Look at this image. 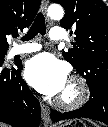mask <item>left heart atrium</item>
Segmentation results:
<instances>
[{
    "label": "left heart atrium",
    "instance_id": "39dd6f15",
    "mask_svg": "<svg viewBox=\"0 0 108 127\" xmlns=\"http://www.w3.org/2000/svg\"><path fill=\"white\" fill-rule=\"evenodd\" d=\"M24 73L31 86L50 96L60 94L68 83L66 66L49 53L30 59Z\"/></svg>",
    "mask_w": 108,
    "mask_h": 127
}]
</instances>
